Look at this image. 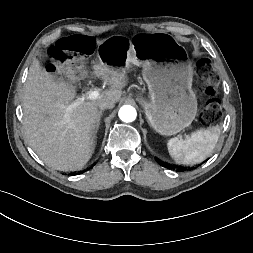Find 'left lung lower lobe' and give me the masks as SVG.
<instances>
[{
    "instance_id": "obj_1",
    "label": "left lung lower lobe",
    "mask_w": 253,
    "mask_h": 253,
    "mask_svg": "<svg viewBox=\"0 0 253 253\" xmlns=\"http://www.w3.org/2000/svg\"><path fill=\"white\" fill-rule=\"evenodd\" d=\"M157 162H158L161 166H163V167H166V168H173V166H170V165H168L167 163H164V162H162V161H160V160H158ZM177 171L181 172V171H183V169H177Z\"/></svg>"
}]
</instances>
